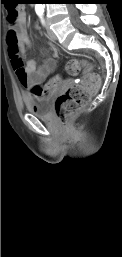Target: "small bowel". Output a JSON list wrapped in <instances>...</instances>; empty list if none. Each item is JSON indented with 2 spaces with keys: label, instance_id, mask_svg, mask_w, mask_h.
I'll return each instance as SVG.
<instances>
[{
  "label": "small bowel",
  "instance_id": "small-bowel-1",
  "mask_svg": "<svg viewBox=\"0 0 122 257\" xmlns=\"http://www.w3.org/2000/svg\"><path fill=\"white\" fill-rule=\"evenodd\" d=\"M6 44L9 52L8 60H11V64H13V73H16L19 82L25 88L31 89L30 83L44 84L47 82L46 79L54 72L56 64L52 59L45 60L42 65H37L34 60L26 61L27 55L24 54L25 49L30 46V39L27 34L26 16L23 10L20 11L18 18L10 23ZM52 91L49 90V92Z\"/></svg>",
  "mask_w": 122,
  "mask_h": 257
}]
</instances>
